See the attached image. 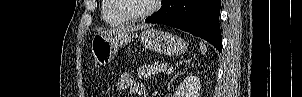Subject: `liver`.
Segmentation results:
<instances>
[{"label":"liver","mask_w":302,"mask_h":97,"mask_svg":"<svg viewBox=\"0 0 302 97\" xmlns=\"http://www.w3.org/2000/svg\"><path fill=\"white\" fill-rule=\"evenodd\" d=\"M146 28H147L146 25H127L125 27L123 26V27L114 28L105 32H101L99 34H111L117 32H125V31L133 32V31L143 30Z\"/></svg>","instance_id":"liver-1"}]
</instances>
